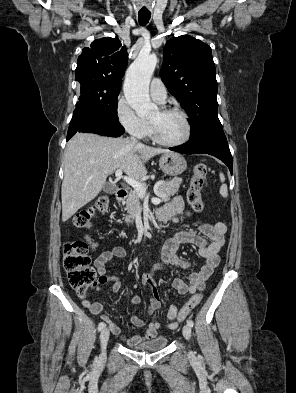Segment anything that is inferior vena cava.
<instances>
[{
  "label": "inferior vena cava",
  "mask_w": 296,
  "mask_h": 393,
  "mask_svg": "<svg viewBox=\"0 0 296 393\" xmlns=\"http://www.w3.org/2000/svg\"><path fill=\"white\" fill-rule=\"evenodd\" d=\"M131 141H132L133 144L141 145V143H138L137 140L134 137H131Z\"/></svg>",
  "instance_id": "obj_1"
}]
</instances>
